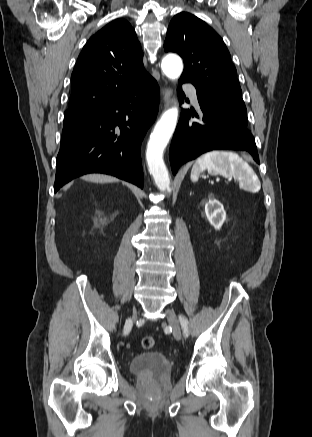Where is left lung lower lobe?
Masks as SVG:
<instances>
[{"label": "left lung lower lobe", "instance_id": "1", "mask_svg": "<svg viewBox=\"0 0 312 437\" xmlns=\"http://www.w3.org/2000/svg\"><path fill=\"white\" fill-rule=\"evenodd\" d=\"M179 99L182 103L184 94L180 90ZM198 102L203 113L200 117L194 111H181L169 153L173 174L185 162L215 149L247 151L259 164L255 139L248 127L224 106L199 97ZM191 116L199 121L191 120Z\"/></svg>", "mask_w": 312, "mask_h": 437}]
</instances>
